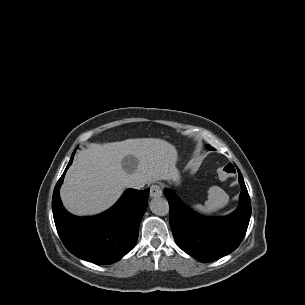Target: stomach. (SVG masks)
<instances>
[{
	"instance_id": "0dacf381",
	"label": "stomach",
	"mask_w": 305,
	"mask_h": 305,
	"mask_svg": "<svg viewBox=\"0 0 305 305\" xmlns=\"http://www.w3.org/2000/svg\"><path fill=\"white\" fill-rule=\"evenodd\" d=\"M176 161H177V154L174 157L173 170H172L171 178L169 179V184L173 186H177L181 182L180 173L178 172L177 168H175Z\"/></svg>"
}]
</instances>
